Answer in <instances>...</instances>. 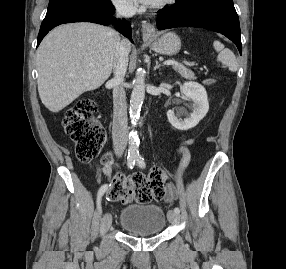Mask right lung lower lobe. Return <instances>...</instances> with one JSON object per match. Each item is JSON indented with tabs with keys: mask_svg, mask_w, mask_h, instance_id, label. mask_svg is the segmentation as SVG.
Returning <instances> with one entry per match:
<instances>
[{
	"mask_svg": "<svg viewBox=\"0 0 286 269\" xmlns=\"http://www.w3.org/2000/svg\"><path fill=\"white\" fill-rule=\"evenodd\" d=\"M114 11V7L110 10H101L90 5H73L47 13L40 27L37 46L52 28L64 23L83 21L103 25L114 24L116 30L132 41L130 25L126 20H116L112 17Z\"/></svg>",
	"mask_w": 286,
	"mask_h": 269,
	"instance_id": "1",
	"label": "right lung lower lobe"
}]
</instances>
